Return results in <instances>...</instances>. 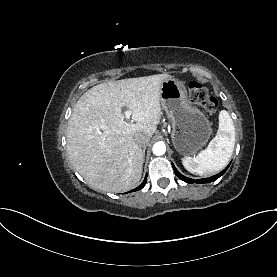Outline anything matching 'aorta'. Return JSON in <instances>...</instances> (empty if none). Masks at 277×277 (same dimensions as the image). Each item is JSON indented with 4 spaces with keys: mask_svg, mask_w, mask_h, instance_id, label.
Segmentation results:
<instances>
[{
    "mask_svg": "<svg viewBox=\"0 0 277 277\" xmlns=\"http://www.w3.org/2000/svg\"><path fill=\"white\" fill-rule=\"evenodd\" d=\"M153 153L157 156L163 155L166 152V146L163 142H156L153 145Z\"/></svg>",
    "mask_w": 277,
    "mask_h": 277,
    "instance_id": "762f6f07",
    "label": "aorta"
}]
</instances>
